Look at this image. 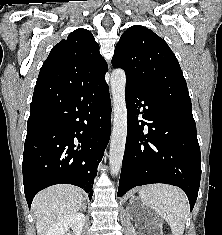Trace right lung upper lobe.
Returning a JSON list of instances; mask_svg holds the SVG:
<instances>
[{
    "mask_svg": "<svg viewBox=\"0 0 222 235\" xmlns=\"http://www.w3.org/2000/svg\"><path fill=\"white\" fill-rule=\"evenodd\" d=\"M108 66L99 52V45L87 29H76L55 45L40 70L36 87L70 89L94 82L105 76ZM47 110L36 102L30 106L28 123L50 119Z\"/></svg>",
    "mask_w": 222,
    "mask_h": 235,
    "instance_id": "1",
    "label": "right lung upper lobe"
}]
</instances>
